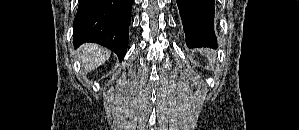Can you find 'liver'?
I'll list each match as a JSON object with an SVG mask.
<instances>
[{
    "mask_svg": "<svg viewBox=\"0 0 299 130\" xmlns=\"http://www.w3.org/2000/svg\"><path fill=\"white\" fill-rule=\"evenodd\" d=\"M80 58L85 72L95 70L110 57V51L96 44H85L80 48Z\"/></svg>",
    "mask_w": 299,
    "mask_h": 130,
    "instance_id": "1",
    "label": "liver"
}]
</instances>
